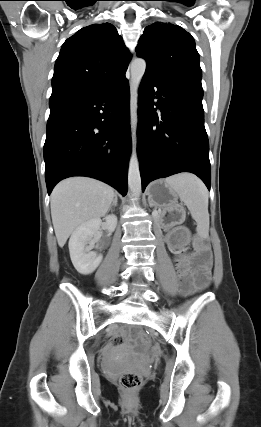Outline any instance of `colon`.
<instances>
[{"mask_svg": "<svg viewBox=\"0 0 261 427\" xmlns=\"http://www.w3.org/2000/svg\"><path fill=\"white\" fill-rule=\"evenodd\" d=\"M135 339L138 344L142 347H146L148 345V339L141 333H134ZM142 376L138 373H125L119 379L120 387L127 393H133L137 391L142 384Z\"/></svg>", "mask_w": 261, "mask_h": 427, "instance_id": "obj_1", "label": "colon"}]
</instances>
